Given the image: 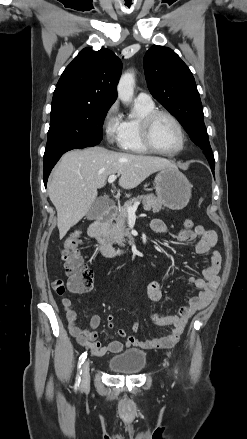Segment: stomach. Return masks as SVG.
<instances>
[{"label":"stomach","instance_id":"obj_1","mask_svg":"<svg viewBox=\"0 0 247 439\" xmlns=\"http://www.w3.org/2000/svg\"><path fill=\"white\" fill-rule=\"evenodd\" d=\"M157 199L172 210H181L191 198V184L177 167L158 171L154 179Z\"/></svg>","mask_w":247,"mask_h":439}]
</instances>
